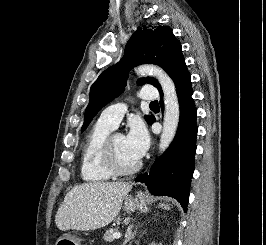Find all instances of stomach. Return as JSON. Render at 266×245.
Returning a JSON list of instances; mask_svg holds the SVG:
<instances>
[{
	"instance_id": "obj_1",
	"label": "stomach",
	"mask_w": 266,
	"mask_h": 245,
	"mask_svg": "<svg viewBox=\"0 0 266 245\" xmlns=\"http://www.w3.org/2000/svg\"><path fill=\"white\" fill-rule=\"evenodd\" d=\"M146 199V193L139 191L135 199H132V197H126V199H124L123 209L126 211V213H135L137 209L138 211H142V213H146V211H148ZM60 240L61 242H70L72 245H82L83 241V239H80V237H77V235H66V237H61Z\"/></svg>"
}]
</instances>
